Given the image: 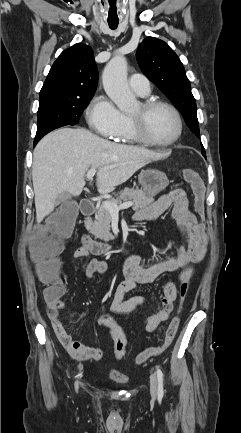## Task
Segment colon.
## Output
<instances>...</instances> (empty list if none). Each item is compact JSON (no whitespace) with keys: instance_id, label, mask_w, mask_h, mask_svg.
<instances>
[{"instance_id":"1","label":"colon","mask_w":241,"mask_h":433,"mask_svg":"<svg viewBox=\"0 0 241 433\" xmlns=\"http://www.w3.org/2000/svg\"><path fill=\"white\" fill-rule=\"evenodd\" d=\"M184 176L190 182L194 194V207L199 215L204 211V185L198 173L192 169H185ZM81 207L76 205L74 200H61L57 205V213L52 215L48 224L39 233H36L31 246V257L37 264L40 279L50 286L45 289L44 297L47 301L59 297L64 289V283L58 278V255L63 247V240L67 238L73 228L74 214H80ZM190 276L180 277V294L185 296ZM103 319L107 321L106 327L110 328L114 338V354L116 358H121L125 354L127 340L122 324H115L118 314L108 316L103 314ZM115 319V320H114ZM179 327V318L174 317L169 323L164 340L161 346L147 348L141 351L136 357V363L141 364L159 355L174 340Z\"/></svg>"}]
</instances>
